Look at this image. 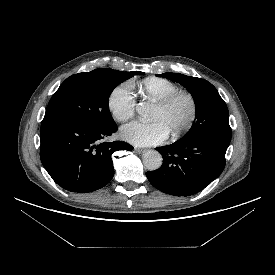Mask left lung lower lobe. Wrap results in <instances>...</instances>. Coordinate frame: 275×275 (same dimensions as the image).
<instances>
[{"label":"left lung lower lobe","instance_id":"1","mask_svg":"<svg viewBox=\"0 0 275 275\" xmlns=\"http://www.w3.org/2000/svg\"><path fill=\"white\" fill-rule=\"evenodd\" d=\"M230 142L209 139H180L156 149L162 166L148 171L149 182L158 190L176 196H190L207 187L225 167Z\"/></svg>","mask_w":275,"mask_h":275}]
</instances>
